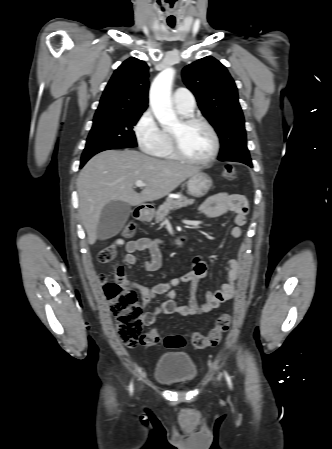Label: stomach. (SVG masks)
<instances>
[{"label": "stomach", "instance_id": "obj_1", "mask_svg": "<svg viewBox=\"0 0 332 449\" xmlns=\"http://www.w3.org/2000/svg\"><path fill=\"white\" fill-rule=\"evenodd\" d=\"M212 186V179L204 172H197L190 176L187 181L188 192L195 198H201L205 196ZM143 217L150 219L152 217L151 212H144Z\"/></svg>", "mask_w": 332, "mask_h": 449}]
</instances>
